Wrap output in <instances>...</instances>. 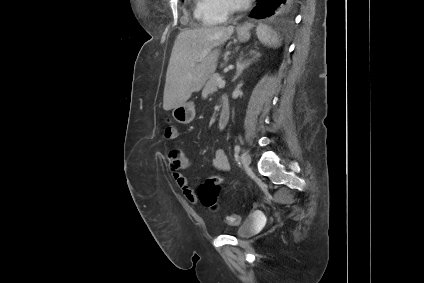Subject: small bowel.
<instances>
[{"label": "small bowel", "mask_w": 424, "mask_h": 283, "mask_svg": "<svg viewBox=\"0 0 424 283\" xmlns=\"http://www.w3.org/2000/svg\"><path fill=\"white\" fill-rule=\"evenodd\" d=\"M190 162L187 158V164L178 170H172V177L175 180L177 186L182 191L185 198L191 203H197V195L194 189L191 187L188 178L181 172L189 166ZM212 165L215 169L220 171H228L230 169V162L226 152L223 149H217L214 154Z\"/></svg>", "instance_id": "c3829d8e"}]
</instances>
